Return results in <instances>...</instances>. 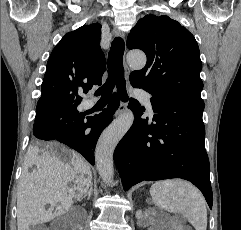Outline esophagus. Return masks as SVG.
<instances>
[{
  "mask_svg": "<svg viewBox=\"0 0 241 230\" xmlns=\"http://www.w3.org/2000/svg\"><path fill=\"white\" fill-rule=\"evenodd\" d=\"M113 35L115 37H118V36L124 37V34L122 32H120V31H118V30H115L113 32ZM124 72H125V78H126V80H128L129 75H130V69H129L128 65L125 62H124ZM126 110H127V103L126 102H121L118 110L115 113V116L116 117L121 116L123 113H125Z\"/></svg>",
  "mask_w": 241,
  "mask_h": 230,
  "instance_id": "1",
  "label": "esophagus"
}]
</instances>
